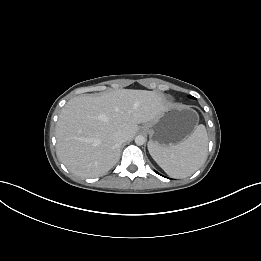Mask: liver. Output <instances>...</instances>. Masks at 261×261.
Here are the masks:
<instances>
[{
	"label": "liver",
	"instance_id": "1",
	"mask_svg": "<svg viewBox=\"0 0 261 261\" xmlns=\"http://www.w3.org/2000/svg\"><path fill=\"white\" fill-rule=\"evenodd\" d=\"M170 105L153 91L119 89L102 95L72 98L56 125L57 155L70 172L98 177L118 161L117 131L131 140L138 124L156 119Z\"/></svg>",
	"mask_w": 261,
	"mask_h": 261
}]
</instances>
